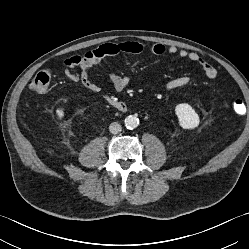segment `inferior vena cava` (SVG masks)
Here are the masks:
<instances>
[{"instance_id":"inferior-vena-cava-1","label":"inferior vena cava","mask_w":249,"mask_h":249,"mask_svg":"<svg viewBox=\"0 0 249 249\" xmlns=\"http://www.w3.org/2000/svg\"><path fill=\"white\" fill-rule=\"evenodd\" d=\"M121 130H122V127H121V125H120L118 122H113V123H111L110 126H109V131H110L112 134H117V133H119Z\"/></svg>"}]
</instances>
